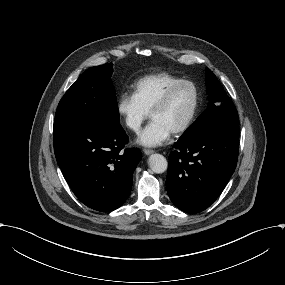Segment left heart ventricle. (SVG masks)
<instances>
[{"label":"left heart ventricle","mask_w":285,"mask_h":285,"mask_svg":"<svg viewBox=\"0 0 285 285\" xmlns=\"http://www.w3.org/2000/svg\"><path fill=\"white\" fill-rule=\"evenodd\" d=\"M194 101L193 87L189 84H183L174 91L167 106L153 113L152 119L161 121L173 131L189 116Z\"/></svg>","instance_id":"left-heart-ventricle-1"}]
</instances>
